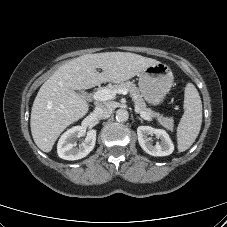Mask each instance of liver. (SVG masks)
<instances>
[{
  "mask_svg": "<svg viewBox=\"0 0 227 227\" xmlns=\"http://www.w3.org/2000/svg\"><path fill=\"white\" fill-rule=\"evenodd\" d=\"M157 63L129 52L86 54L65 63L41 86L34 100L30 126L35 144L50 152L60 134L87 114L89 105L75 90L103 82L121 83Z\"/></svg>",
  "mask_w": 227,
  "mask_h": 227,
  "instance_id": "liver-1",
  "label": "liver"
}]
</instances>
